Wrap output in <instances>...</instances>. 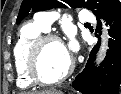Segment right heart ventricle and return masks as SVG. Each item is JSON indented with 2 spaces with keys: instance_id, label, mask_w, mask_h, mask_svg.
Segmentation results:
<instances>
[{
  "instance_id": "e07e8e85",
  "label": "right heart ventricle",
  "mask_w": 121,
  "mask_h": 94,
  "mask_svg": "<svg viewBox=\"0 0 121 94\" xmlns=\"http://www.w3.org/2000/svg\"><path fill=\"white\" fill-rule=\"evenodd\" d=\"M46 31L47 30L36 21L25 24L18 34V38L13 49V58L17 74V84L23 89H28L33 86V82L28 77L25 68L27 50L31 42Z\"/></svg>"
}]
</instances>
